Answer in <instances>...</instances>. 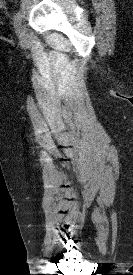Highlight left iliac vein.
I'll use <instances>...</instances> for the list:
<instances>
[{
	"label": "left iliac vein",
	"instance_id": "1",
	"mask_svg": "<svg viewBox=\"0 0 133 275\" xmlns=\"http://www.w3.org/2000/svg\"><path fill=\"white\" fill-rule=\"evenodd\" d=\"M15 29L19 38V41L21 43L26 42L27 38H26V30L23 26V24L21 23V20L17 21L15 23Z\"/></svg>",
	"mask_w": 133,
	"mask_h": 275
}]
</instances>
